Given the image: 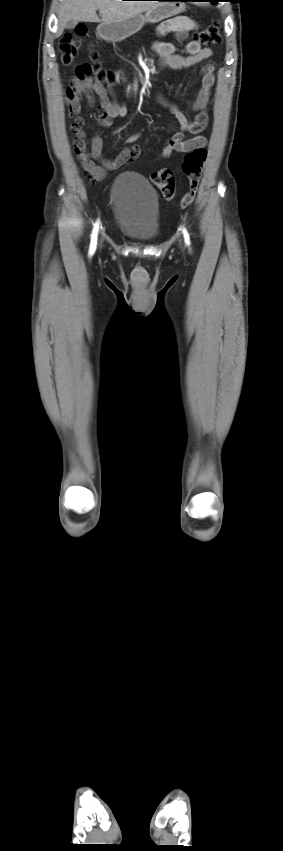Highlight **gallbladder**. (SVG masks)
Listing matches in <instances>:
<instances>
[{
    "label": "gallbladder",
    "instance_id": "1",
    "mask_svg": "<svg viewBox=\"0 0 283 851\" xmlns=\"http://www.w3.org/2000/svg\"><path fill=\"white\" fill-rule=\"evenodd\" d=\"M75 26H76V22H75V21H68V22L66 23V25H65V28H66V29H73Z\"/></svg>",
    "mask_w": 283,
    "mask_h": 851
}]
</instances>
